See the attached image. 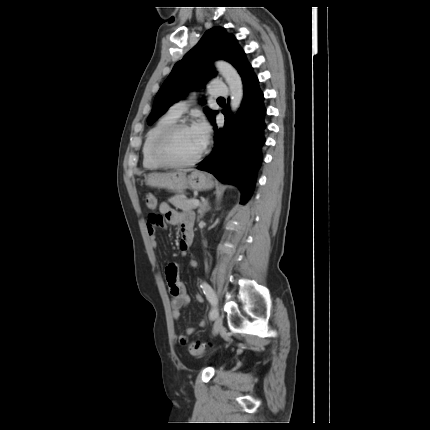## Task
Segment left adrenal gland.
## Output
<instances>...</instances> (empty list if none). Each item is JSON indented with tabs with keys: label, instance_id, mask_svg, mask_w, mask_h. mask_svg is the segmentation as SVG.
<instances>
[{
	"label": "left adrenal gland",
	"instance_id": "obj_1",
	"mask_svg": "<svg viewBox=\"0 0 430 430\" xmlns=\"http://www.w3.org/2000/svg\"><path fill=\"white\" fill-rule=\"evenodd\" d=\"M207 207H208V203L207 201H204V203L201 205V208H200L199 218H202L204 216V213L208 210Z\"/></svg>",
	"mask_w": 430,
	"mask_h": 430
}]
</instances>
